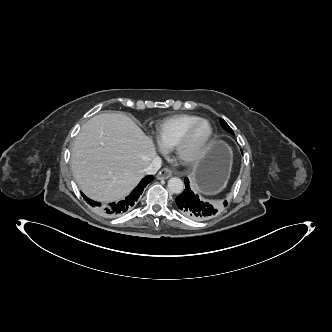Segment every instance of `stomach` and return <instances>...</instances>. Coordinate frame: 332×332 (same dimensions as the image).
Masks as SVG:
<instances>
[{"label":"stomach","instance_id":"obj_1","mask_svg":"<svg viewBox=\"0 0 332 332\" xmlns=\"http://www.w3.org/2000/svg\"><path fill=\"white\" fill-rule=\"evenodd\" d=\"M230 166V147L223 141H212L193 170V189L206 195L219 193L227 183Z\"/></svg>","mask_w":332,"mask_h":332}]
</instances>
